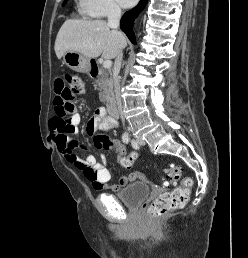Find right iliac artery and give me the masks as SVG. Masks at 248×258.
<instances>
[{
	"mask_svg": "<svg viewBox=\"0 0 248 258\" xmlns=\"http://www.w3.org/2000/svg\"><path fill=\"white\" fill-rule=\"evenodd\" d=\"M122 140H123L124 143L127 144L129 142V140H130L128 134H123Z\"/></svg>",
	"mask_w": 248,
	"mask_h": 258,
	"instance_id": "right-iliac-artery-1",
	"label": "right iliac artery"
}]
</instances>
